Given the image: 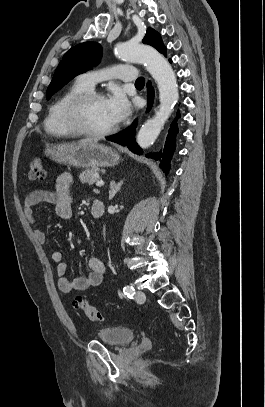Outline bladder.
Returning <instances> with one entry per match:
<instances>
[{
	"mask_svg": "<svg viewBox=\"0 0 265 407\" xmlns=\"http://www.w3.org/2000/svg\"><path fill=\"white\" fill-rule=\"evenodd\" d=\"M97 336L106 344L112 346H125L130 344L136 338V332L130 328L112 326L98 330Z\"/></svg>",
	"mask_w": 265,
	"mask_h": 407,
	"instance_id": "1",
	"label": "bladder"
}]
</instances>
